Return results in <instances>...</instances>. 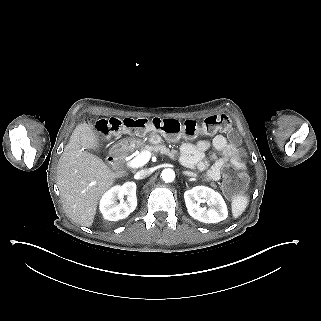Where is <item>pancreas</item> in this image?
<instances>
[{
  "mask_svg": "<svg viewBox=\"0 0 321 321\" xmlns=\"http://www.w3.org/2000/svg\"><path fill=\"white\" fill-rule=\"evenodd\" d=\"M129 147V152L134 151L135 149L139 150V151H149V152H160L161 154H165L168 155L170 158L175 159V157L178 155V151L177 150H170L169 148H167L165 145H146L143 144L142 141L133 146H128ZM195 176H197L196 173H194ZM205 181H209L208 179H204ZM210 185L214 188H216V184L214 182H211Z\"/></svg>",
  "mask_w": 321,
  "mask_h": 321,
  "instance_id": "cf45deb5",
  "label": "pancreas"
}]
</instances>
